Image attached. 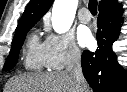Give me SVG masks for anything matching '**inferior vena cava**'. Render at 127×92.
Segmentation results:
<instances>
[{
    "instance_id": "obj_1",
    "label": "inferior vena cava",
    "mask_w": 127,
    "mask_h": 92,
    "mask_svg": "<svg viewBox=\"0 0 127 92\" xmlns=\"http://www.w3.org/2000/svg\"><path fill=\"white\" fill-rule=\"evenodd\" d=\"M66 72L74 80L76 84V91L83 92V86L86 82L81 68V53L76 48H72L70 51Z\"/></svg>"
}]
</instances>
